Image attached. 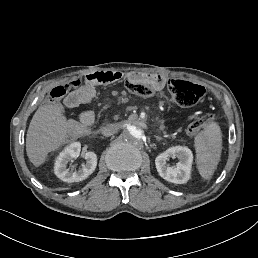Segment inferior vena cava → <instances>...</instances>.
I'll list each match as a JSON object with an SVG mask.
<instances>
[{"instance_id": "inferior-vena-cava-1", "label": "inferior vena cava", "mask_w": 258, "mask_h": 258, "mask_svg": "<svg viewBox=\"0 0 258 258\" xmlns=\"http://www.w3.org/2000/svg\"><path fill=\"white\" fill-rule=\"evenodd\" d=\"M101 132L104 136L109 137L118 132V129H116L113 124H108L102 128Z\"/></svg>"}]
</instances>
